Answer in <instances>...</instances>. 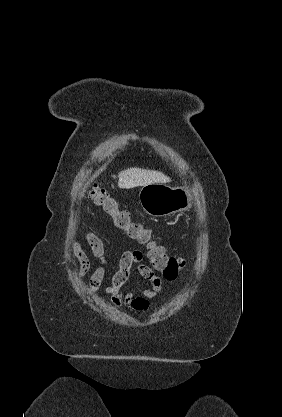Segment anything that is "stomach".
Returning <instances> with one entry per match:
<instances>
[{
    "instance_id": "obj_1",
    "label": "stomach",
    "mask_w": 282,
    "mask_h": 417,
    "mask_svg": "<svg viewBox=\"0 0 282 417\" xmlns=\"http://www.w3.org/2000/svg\"><path fill=\"white\" fill-rule=\"evenodd\" d=\"M139 202L147 215L166 217L179 211H188L190 194L181 186H167L163 182L144 184L139 190Z\"/></svg>"
}]
</instances>
